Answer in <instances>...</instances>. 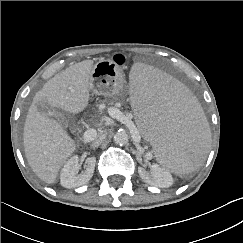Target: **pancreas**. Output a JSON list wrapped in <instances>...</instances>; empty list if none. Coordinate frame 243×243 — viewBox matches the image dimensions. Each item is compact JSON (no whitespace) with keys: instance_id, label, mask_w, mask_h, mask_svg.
<instances>
[{"instance_id":"pancreas-1","label":"pancreas","mask_w":243,"mask_h":243,"mask_svg":"<svg viewBox=\"0 0 243 243\" xmlns=\"http://www.w3.org/2000/svg\"><path fill=\"white\" fill-rule=\"evenodd\" d=\"M112 109H117V108H109L108 111L111 112Z\"/></svg>"}]
</instances>
